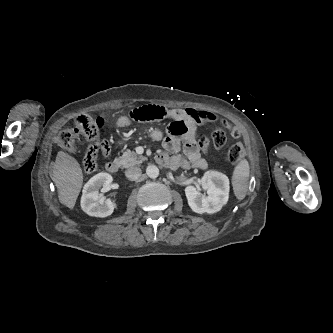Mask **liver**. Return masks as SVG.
<instances>
[{
	"label": "liver",
	"instance_id": "1",
	"mask_svg": "<svg viewBox=\"0 0 333 333\" xmlns=\"http://www.w3.org/2000/svg\"><path fill=\"white\" fill-rule=\"evenodd\" d=\"M53 180L60 201L72 209L83 184V173L78 161L69 154L59 151L54 163Z\"/></svg>",
	"mask_w": 333,
	"mask_h": 333
}]
</instances>
